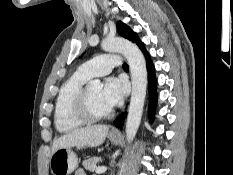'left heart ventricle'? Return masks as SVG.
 I'll return each mask as SVG.
<instances>
[{
  "label": "left heart ventricle",
  "mask_w": 233,
  "mask_h": 175,
  "mask_svg": "<svg viewBox=\"0 0 233 175\" xmlns=\"http://www.w3.org/2000/svg\"><path fill=\"white\" fill-rule=\"evenodd\" d=\"M88 97L92 110L97 114H102L110 110V108L103 102L101 98V88H88Z\"/></svg>",
  "instance_id": "1"
}]
</instances>
